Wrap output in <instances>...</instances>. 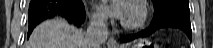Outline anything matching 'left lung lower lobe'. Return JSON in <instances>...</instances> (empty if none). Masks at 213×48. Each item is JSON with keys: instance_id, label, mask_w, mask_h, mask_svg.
<instances>
[{"instance_id": "left-lung-lower-lobe-1", "label": "left lung lower lobe", "mask_w": 213, "mask_h": 48, "mask_svg": "<svg viewBox=\"0 0 213 48\" xmlns=\"http://www.w3.org/2000/svg\"><path fill=\"white\" fill-rule=\"evenodd\" d=\"M165 27L179 28L184 31L191 40L192 30L190 24V12L173 8L164 9L161 12L154 14L151 25L147 29L137 34L122 36L120 37V41L126 43L136 38L147 37L156 30Z\"/></svg>"}]
</instances>
